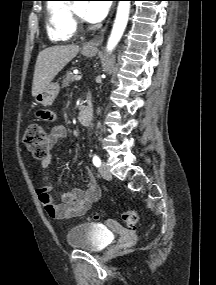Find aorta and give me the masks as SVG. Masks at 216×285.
Returning <instances> with one entry per match:
<instances>
[{
	"instance_id": "762f6f07",
	"label": "aorta",
	"mask_w": 216,
	"mask_h": 285,
	"mask_svg": "<svg viewBox=\"0 0 216 285\" xmlns=\"http://www.w3.org/2000/svg\"><path fill=\"white\" fill-rule=\"evenodd\" d=\"M130 1H119L114 25L108 39L107 50L112 51L120 41L127 26Z\"/></svg>"
}]
</instances>
